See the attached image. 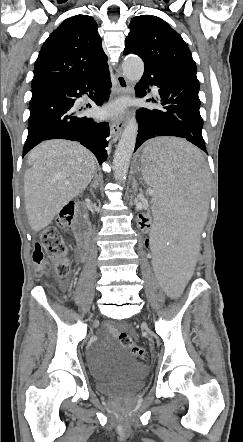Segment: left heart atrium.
<instances>
[{"label":"left heart atrium","instance_id":"left-heart-atrium-1","mask_svg":"<svg viewBox=\"0 0 243 442\" xmlns=\"http://www.w3.org/2000/svg\"><path fill=\"white\" fill-rule=\"evenodd\" d=\"M122 109H123V105L121 103H116V104L110 105L107 108H105L102 111V114L106 115V116L116 115V114L120 113L122 111Z\"/></svg>","mask_w":243,"mask_h":442}]
</instances>
